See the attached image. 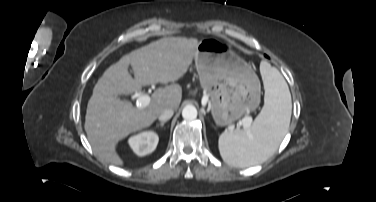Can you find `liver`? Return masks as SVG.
Wrapping results in <instances>:
<instances>
[{"label":"liver","mask_w":376,"mask_h":202,"mask_svg":"<svg viewBox=\"0 0 376 202\" xmlns=\"http://www.w3.org/2000/svg\"><path fill=\"white\" fill-rule=\"evenodd\" d=\"M198 44L196 38H162L124 55L106 69L88 101L84 125L89 143L102 160L123 165L116 152L117 143L150 126L164 110H176L182 89L176 84L158 88L150 103L140 108L119 100L117 95L140 92L145 85L177 81L191 65ZM129 65L135 78L128 71Z\"/></svg>","instance_id":"liver-1"}]
</instances>
